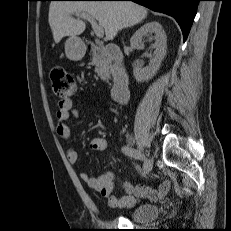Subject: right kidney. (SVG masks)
<instances>
[{"instance_id":"1","label":"right kidney","mask_w":231,"mask_h":231,"mask_svg":"<svg viewBox=\"0 0 231 231\" xmlns=\"http://www.w3.org/2000/svg\"><path fill=\"white\" fill-rule=\"evenodd\" d=\"M148 34H154L155 43L151 46L154 53L148 55L150 63L147 67H136L133 71L136 81L140 83L148 81L157 73L166 55L167 37L162 25L157 21L148 22L141 26L130 39L131 47L143 49L144 37Z\"/></svg>"}]
</instances>
